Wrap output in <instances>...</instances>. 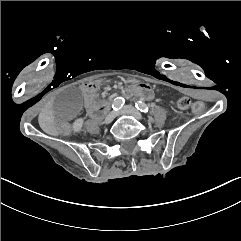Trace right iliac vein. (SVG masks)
I'll list each match as a JSON object with an SVG mask.
<instances>
[{
    "mask_svg": "<svg viewBox=\"0 0 241 241\" xmlns=\"http://www.w3.org/2000/svg\"><path fill=\"white\" fill-rule=\"evenodd\" d=\"M115 117H116V112L112 111L106 115L104 122L106 124H109Z\"/></svg>",
    "mask_w": 241,
    "mask_h": 241,
    "instance_id": "obj_1",
    "label": "right iliac vein"
}]
</instances>
